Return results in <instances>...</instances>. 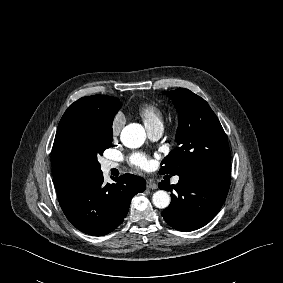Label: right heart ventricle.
<instances>
[{"label":"right heart ventricle","instance_id":"e07e8e85","mask_svg":"<svg viewBox=\"0 0 283 283\" xmlns=\"http://www.w3.org/2000/svg\"><path fill=\"white\" fill-rule=\"evenodd\" d=\"M138 115L143 120L146 128L163 126V110L155 103H145L138 108Z\"/></svg>","mask_w":283,"mask_h":283}]
</instances>
